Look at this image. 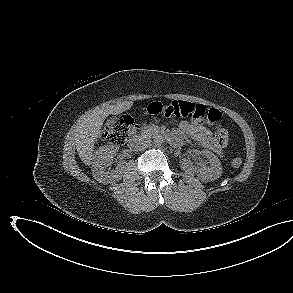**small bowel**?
Listing matches in <instances>:
<instances>
[{
    "mask_svg": "<svg viewBox=\"0 0 293 293\" xmlns=\"http://www.w3.org/2000/svg\"><path fill=\"white\" fill-rule=\"evenodd\" d=\"M180 129L183 133L191 136L202 147L210 149L220 155L223 153V148L218 145L212 132L203 124L184 120L180 122Z\"/></svg>",
    "mask_w": 293,
    "mask_h": 293,
    "instance_id": "c3829d8e",
    "label": "small bowel"
}]
</instances>
